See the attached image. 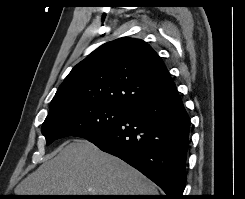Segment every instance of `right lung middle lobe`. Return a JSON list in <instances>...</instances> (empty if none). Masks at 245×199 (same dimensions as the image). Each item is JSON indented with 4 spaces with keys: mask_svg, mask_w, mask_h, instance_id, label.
I'll use <instances>...</instances> for the list:
<instances>
[{
    "mask_svg": "<svg viewBox=\"0 0 245 199\" xmlns=\"http://www.w3.org/2000/svg\"><path fill=\"white\" fill-rule=\"evenodd\" d=\"M128 110L98 103L72 105L48 114L41 131L47 145L67 136L87 139L119 122Z\"/></svg>",
    "mask_w": 245,
    "mask_h": 199,
    "instance_id": "right-lung-middle-lobe-1",
    "label": "right lung middle lobe"
}]
</instances>
